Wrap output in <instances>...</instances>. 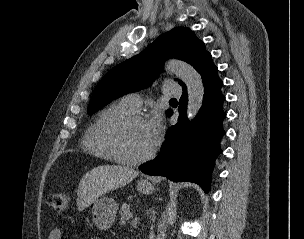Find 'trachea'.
Wrapping results in <instances>:
<instances>
[{
  "label": "trachea",
  "mask_w": 304,
  "mask_h": 239,
  "mask_svg": "<svg viewBox=\"0 0 304 239\" xmlns=\"http://www.w3.org/2000/svg\"><path fill=\"white\" fill-rule=\"evenodd\" d=\"M170 101H177L176 99H171Z\"/></svg>",
  "instance_id": "3493384b"
}]
</instances>
